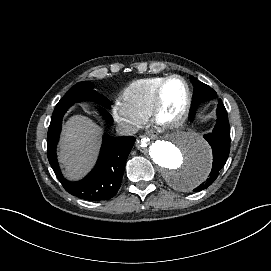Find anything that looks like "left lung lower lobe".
Returning <instances> with one entry per match:
<instances>
[{
  "instance_id": "left-lung-lower-lobe-1",
  "label": "left lung lower lobe",
  "mask_w": 271,
  "mask_h": 271,
  "mask_svg": "<svg viewBox=\"0 0 271 271\" xmlns=\"http://www.w3.org/2000/svg\"><path fill=\"white\" fill-rule=\"evenodd\" d=\"M196 110L190 114V120L194 119ZM204 138L210 144L213 151V165L209 178L198 186L194 191H201L210 186L218 177L220 170L225 165L230 152V126L227 111L222 103L218 100L217 106V123L212 133L204 135Z\"/></svg>"
}]
</instances>
